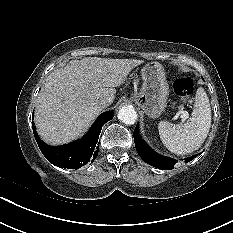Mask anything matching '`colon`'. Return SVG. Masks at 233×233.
<instances>
[{
  "label": "colon",
  "instance_id": "1",
  "mask_svg": "<svg viewBox=\"0 0 233 233\" xmlns=\"http://www.w3.org/2000/svg\"><path fill=\"white\" fill-rule=\"evenodd\" d=\"M176 95L182 100L187 101L194 89V83L190 77H178L173 83Z\"/></svg>",
  "mask_w": 233,
  "mask_h": 233
}]
</instances>
